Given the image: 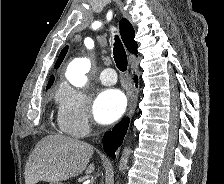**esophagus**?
Wrapping results in <instances>:
<instances>
[{"label": "esophagus", "instance_id": "obj_1", "mask_svg": "<svg viewBox=\"0 0 224 184\" xmlns=\"http://www.w3.org/2000/svg\"><path fill=\"white\" fill-rule=\"evenodd\" d=\"M136 101H137V97L133 96V98L131 100V103H130L128 113H127L128 116H131L132 113L134 112V109H135V106H136Z\"/></svg>", "mask_w": 224, "mask_h": 184}]
</instances>
